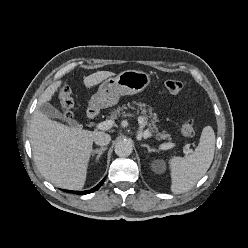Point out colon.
<instances>
[{"label":"colon","mask_w":248,"mask_h":248,"mask_svg":"<svg viewBox=\"0 0 248 248\" xmlns=\"http://www.w3.org/2000/svg\"><path fill=\"white\" fill-rule=\"evenodd\" d=\"M165 88L171 94H178L182 91L183 84L178 80H167L165 82ZM59 98H60V105L63 116L65 118L71 117L72 108H73V99L69 87L64 86L60 90ZM181 132L182 135L187 138L193 137L195 135V127L192 119H187L183 123L181 127Z\"/></svg>","instance_id":"5ec220e1"}]
</instances>
